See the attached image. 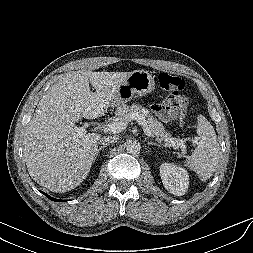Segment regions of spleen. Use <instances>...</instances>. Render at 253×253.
Here are the masks:
<instances>
[{
    "label": "spleen",
    "instance_id": "3e777b00",
    "mask_svg": "<svg viewBox=\"0 0 253 253\" xmlns=\"http://www.w3.org/2000/svg\"><path fill=\"white\" fill-rule=\"evenodd\" d=\"M198 145L185 161V166L197 173L202 181L209 179L219 163L220 149L213 126L202 115L197 117Z\"/></svg>",
    "mask_w": 253,
    "mask_h": 253
}]
</instances>
